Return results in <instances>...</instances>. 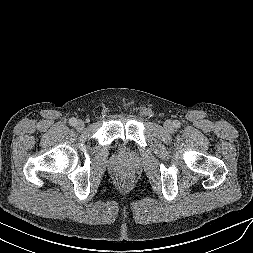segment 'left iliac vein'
Segmentation results:
<instances>
[{
	"mask_svg": "<svg viewBox=\"0 0 253 253\" xmlns=\"http://www.w3.org/2000/svg\"><path fill=\"white\" fill-rule=\"evenodd\" d=\"M164 128L168 132H172L174 130L173 124L170 121H166L164 123Z\"/></svg>",
	"mask_w": 253,
	"mask_h": 253,
	"instance_id": "1",
	"label": "left iliac vein"
}]
</instances>
